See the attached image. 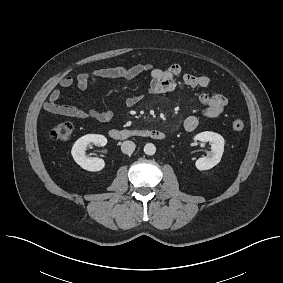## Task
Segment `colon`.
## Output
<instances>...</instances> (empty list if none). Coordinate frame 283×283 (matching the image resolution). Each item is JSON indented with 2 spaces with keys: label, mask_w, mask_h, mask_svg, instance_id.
<instances>
[{
  "label": "colon",
  "mask_w": 283,
  "mask_h": 283,
  "mask_svg": "<svg viewBox=\"0 0 283 283\" xmlns=\"http://www.w3.org/2000/svg\"><path fill=\"white\" fill-rule=\"evenodd\" d=\"M245 127L244 121L241 119H235L232 122V128L235 131H242ZM73 133V124L69 121H64L56 124L51 129V137L57 141H67L71 138Z\"/></svg>",
  "instance_id": "obj_1"
}]
</instances>
